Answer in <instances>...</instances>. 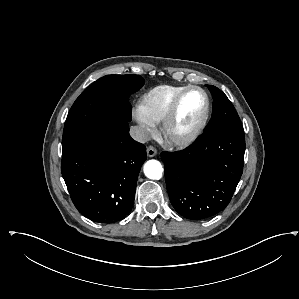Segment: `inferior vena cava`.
I'll return each mask as SVG.
<instances>
[{
    "instance_id": "602c4592",
    "label": "inferior vena cava",
    "mask_w": 299,
    "mask_h": 299,
    "mask_svg": "<svg viewBox=\"0 0 299 299\" xmlns=\"http://www.w3.org/2000/svg\"><path fill=\"white\" fill-rule=\"evenodd\" d=\"M130 135L135 141H138L140 143H145L150 140L149 132L140 126L132 127L130 129Z\"/></svg>"
}]
</instances>
